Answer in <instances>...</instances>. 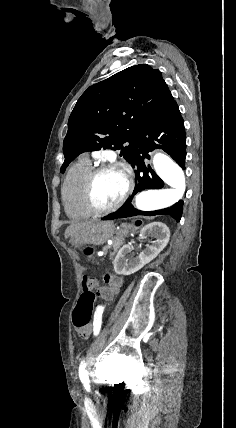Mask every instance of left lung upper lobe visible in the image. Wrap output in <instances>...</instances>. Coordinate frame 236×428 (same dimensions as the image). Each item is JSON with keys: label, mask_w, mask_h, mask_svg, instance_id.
Returning a JSON list of instances; mask_svg holds the SVG:
<instances>
[{"label": "left lung upper lobe", "mask_w": 236, "mask_h": 428, "mask_svg": "<svg viewBox=\"0 0 236 428\" xmlns=\"http://www.w3.org/2000/svg\"><path fill=\"white\" fill-rule=\"evenodd\" d=\"M173 101L161 72L147 64L90 86L69 117L60 172L80 153L102 148L120 150V156L134 164L140 132Z\"/></svg>", "instance_id": "obj_1"}]
</instances>
